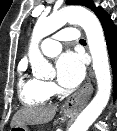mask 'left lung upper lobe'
<instances>
[{"instance_id":"5c2ea615","label":"left lung upper lobe","mask_w":117,"mask_h":131,"mask_svg":"<svg viewBox=\"0 0 117 131\" xmlns=\"http://www.w3.org/2000/svg\"><path fill=\"white\" fill-rule=\"evenodd\" d=\"M66 4L85 6L94 11L95 14H97V12H99L102 9L101 7H96L92 0H66Z\"/></svg>"}]
</instances>
